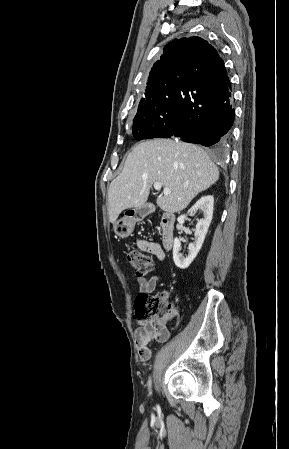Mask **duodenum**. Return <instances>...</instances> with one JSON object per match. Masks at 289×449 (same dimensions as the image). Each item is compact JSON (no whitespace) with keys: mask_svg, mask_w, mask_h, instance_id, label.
<instances>
[{"mask_svg":"<svg viewBox=\"0 0 289 449\" xmlns=\"http://www.w3.org/2000/svg\"><path fill=\"white\" fill-rule=\"evenodd\" d=\"M175 215L164 212L161 217V240L165 249H170L174 240Z\"/></svg>","mask_w":289,"mask_h":449,"instance_id":"duodenum-1","label":"duodenum"}]
</instances>
